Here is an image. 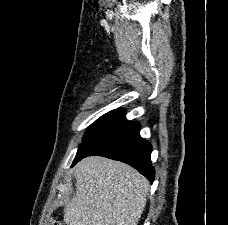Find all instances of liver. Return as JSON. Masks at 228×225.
<instances>
[{
  "instance_id": "1",
  "label": "liver",
  "mask_w": 228,
  "mask_h": 225,
  "mask_svg": "<svg viewBox=\"0 0 228 225\" xmlns=\"http://www.w3.org/2000/svg\"><path fill=\"white\" fill-rule=\"evenodd\" d=\"M76 191L64 209L65 225H138L149 181L138 171L104 157H87L74 167Z\"/></svg>"
}]
</instances>
